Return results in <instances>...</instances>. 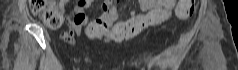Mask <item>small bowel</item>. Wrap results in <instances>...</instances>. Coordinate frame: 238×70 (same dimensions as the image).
I'll use <instances>...</instances> for the list:
<instances>
[{
    "instance_id": "obj_1",
    "label": "small bowel",
    "mask_w": 238,
    "mask_h": 70,
    "mask_svg": "<svg viewBox=\"0 0 238 70\" xmlns=\"http://www.w3.org/2000/svg\"><path fill=\"white\" fill-rule=\"evenodd\" d=\"M91 3L92 0H82L74 8L70 29L61 34L64 41L74 45L76 38L83 36L90 39H102L105 42L123 41L140 33L148 26L157 25L167 20L172 11L176 9L179 0H139V6L143 13L132 10L128 21L117 24L115 22L119 14L113 2L106 3L100 17L88 19L84 10ZM67 4V0L60 1V8L63 12Z\"/></svg>"
}]
</instances>
